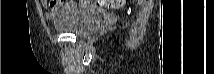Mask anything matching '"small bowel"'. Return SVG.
Returning <instances> with one entry per match:
<instances>
[{
  "label": "small bowel",
  "instance_id": "small-bowel-1",
  "mask_svg": "<svg viewBox=\"0 0 214 74\" xmlns=\"http://www.w3.org/2000/svg\"><path fill=\"white\" fill-rule=\"evenodd\" d=\"M42 3L48 7V3L46 1H42ZM85 4L91 5L92 3L89 1H86ZM74 7L73 5H65L60 2H55L50 4V10L47 11L46 16L48 18H54L59 16L61 13H63L66 9Z\"/></svg>",
  "mask_w": 214,
  "mask_h": 74
}]
</instances>
